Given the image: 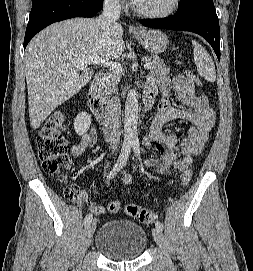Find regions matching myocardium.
Wrapping results in <instances>:
<instances>
[{"label":"myocardium","mask_w":253,"mask_h":271,"mask_svg":"<svg viewBox=\"0 0 253 271\" xmlns=\"http://www.w3.org/2000/svg\"><path fill=\"white\" fill-rule=\"evenodd\" d=\"M180 3L181 0H172L171 5L166 10L159 12H151L142 9L141 7H139L137 2L133 0L134 11L138 15L149 19H164L173 15L179 9Z\"/></svg>","instance_id":"myocardium-1"}]
</instances>
